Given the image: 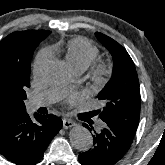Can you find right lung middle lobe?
<instances>
[{
	"mask_svg": "<svg viewBox=\"0 0 165 165\" xmlns=\"http://www.w3.org/2000/svg\"><path fill=\"white\" fill-rule=\"evenodd\" d=\"M39 43H35L29 49L25 62L18 66H0V93L23 103L26 97V88L30 86V58Z\"/></svg>",
	"mask_w": 165,
	"mask_h": 165,
	"instance_id": "1",
	"label": "right lung middle lobe"
}]
</instances>
